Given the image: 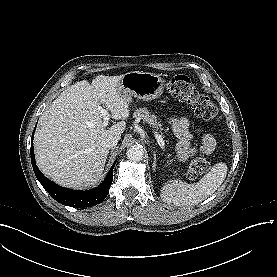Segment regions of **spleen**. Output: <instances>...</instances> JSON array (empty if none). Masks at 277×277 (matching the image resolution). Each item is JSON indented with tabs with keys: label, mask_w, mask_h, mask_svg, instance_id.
<instances>
[{
	"label": "spleen",
	"mask_w": 277,
	"mask_h": 277,
	"mask_svg": "<svg viewBox=\"0 0 277 277\" xmlns=\"http://www.w3.org/2000/svg\"><path fill=\"white\" fill-rule=\"evenodd\" d=\"M227 165L217 163L212 169L194 184H187L179 179H170L164 183L161 197L166 202L178 206L198 204L212 195L224 182L227 175Z\"/></svg>",
	"instance_id": "obj_1"
}]
</instances>
